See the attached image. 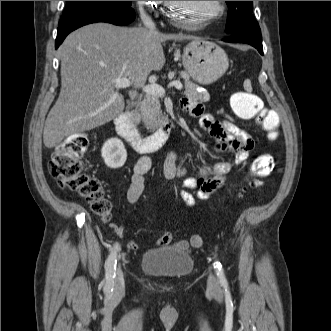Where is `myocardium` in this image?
I'll list each match as a JSON object with an SVG mask.
<instances>
[{
	"mask_svg": "<svg viewBox=\"0 0 331 331\" xmlns=\"http://www.w3.org/2000/svg\"><path fill=\"white\" fill-rule=\"evenodd\" d=\"M217 3H218L217 11L215 13L211 14L210 16L202 19L198 23L189 24V23H186V22H183V21L177 19L174 16L175 1H166V4H167L166 16L172 24H174L176 26H179V27H188V26L200 27V26L206 25L207 23H209L211 21H214V20L220 18L224 14V12H225V2L224 1H217Z\"/></svg>",
	"mask_w": 331,
	"mask_h": 331,
	"instance_id": "obj_1",
	"label": "myocardium"
}]
</instances>
